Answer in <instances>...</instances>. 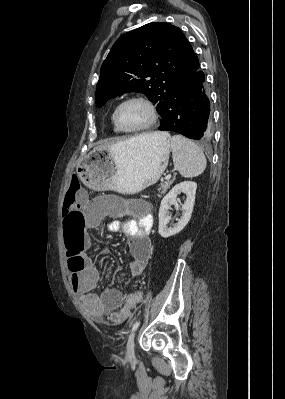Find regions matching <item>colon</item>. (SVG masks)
<instances>
[{
	"label": "colon",
	"instance_id": "colon-1",
	"mask_svg": "<svg viewBox=\"0 0 285 399\" xmlns=\"http://www.w3.org/2000/svg\"><path fill=\"white\" fill-rule=\"evenodd\" d=\"M82 185L78 179H72L70 182L65 200H64V218L66 224L73 228L82 220L77 208L81 199ZM65 242L68 254V268L71 273H78L86 266L87 251L83 244L79 243L73 232L68 230L65 232ZM132 310V305L127 303L123 308L113 317L115 320H123L128 317Z\"/></svg>",
	"mask_w": 285,
	"mask_h": 399
}]
</instances>
